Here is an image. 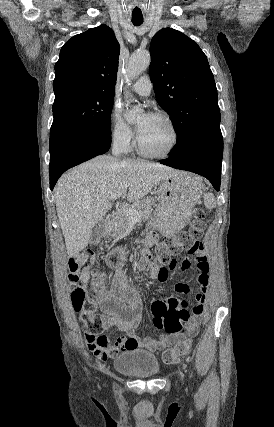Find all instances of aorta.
Wrapping results in <instances>:
<instances>
[{
    "instance_id": "762f6f07",
    "label": "aorta",
    "mask_w": 274,
    "mask_h": 427,
    "mask_svg": "<svg viewBox=\"0 0 274 427\" xmlns=\"http://www.w3.org/2000/svg\"><path fill=\"white\" fill-rule=\"evenodd\" d=\"M150 53L148 51H137L133 53L129 59L128 66L125 73L126 82L137 78L144 70L150 65ZM129 93H126L128 98ZM141 113V109L134 107L131 112L127 115L128 121H133L138 114Z\"/></svg>"
}]
</instances>
